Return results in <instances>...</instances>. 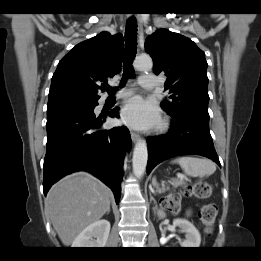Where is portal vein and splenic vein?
<instances>
[{
	"mask_svg": "<svg viewBox=\"0 0 261 261\" xmlns=\"http://www.w3.org/2000/svg\"><path fill=\"white\" fill-rule=\"evenodd\" d=\"M177 176L180 178V180H175L173 184H178V182H182V179L184 178V176L181 174H178Z\"/></svg>",
	"mask_w": 261,
	"mask_h": 261,
	"instance_id": "18ae733b",
	"label": "portal vein and splenic vein"
}]
</instances>
